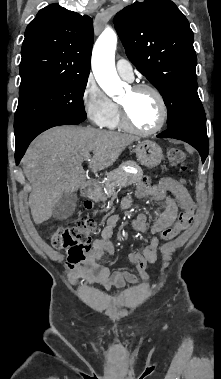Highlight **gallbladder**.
<instances>
[{
  "instance_id": "gallbladder-1",
  "label": "gallbladder",
  "mask_w": 221,
  "mask_h": 379,
  "mask_svg": "<svg viewBox=\"0 0 221 379\" xmlns=\"http://www.w3.org/2000/svg\"><path fill=\"white\" fill-rule=\"evenodd\" d=\"M77 196L75 193H63L53 209V217L57 220L68 218L75 210Z\"/></svg>"
}]
</instances>
